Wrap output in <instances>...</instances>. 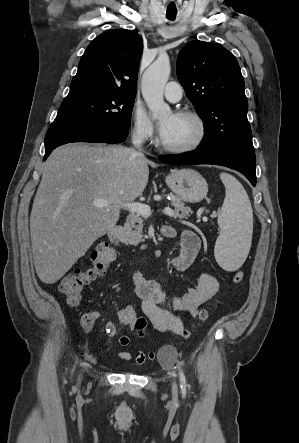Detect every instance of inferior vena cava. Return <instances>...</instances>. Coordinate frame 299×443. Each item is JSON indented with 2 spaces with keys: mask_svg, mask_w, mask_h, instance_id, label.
<instances>
[{
  "mask_svg": "<svg viewBox=\"0 0 299 443\" xmlns=\"http://www.w3.org/2000/svg\"><path fill=\"white\" fill-rule=\"evenodd\" d=\"M132 143L136 148L140 149L141 135L139 133H136V135L133 136ZM139 154L143 155L142 153Z\"/></svg>",
  "mask_w": 299,
  "mask_h": 443,
  "instance_id": "inferior-vena-cava-1",
  "label": "inferior vena cava"
}]
</instances>
